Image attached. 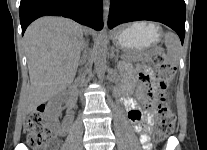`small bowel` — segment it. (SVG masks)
<instances>
[{
    "instance_id": "1",
    "label": "small bowel",
    "mask_w": 207,
    "mask_h": 150,
    "mask_svg": "<svg viewBox=\"0 0 207 150\" xmlns=\"http://www.w3.org/2000/svg\"><path fill=\"white\" fill-rule=\"evenodd\" d=\"M127 81L118 89V94L124 103L128 118L134 130L139 133L144 149L150 150V131L153 123L152 108L154 105V75L147 66H139L136 71L126 68ZM136 93L137 98L147 107L144 111L131 95Z\"/></svg>"
}]
</instances>
